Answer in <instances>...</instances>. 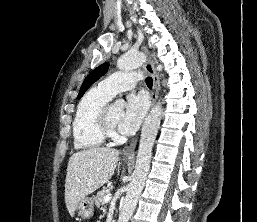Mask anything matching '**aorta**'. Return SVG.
<instances>
[{"mask_svg":"<svg viewBox=\"0 0 257 222\" xmlns=\"http://www.w3.org/2000/svg\"><path fill=\"white\" fill-rule=\"evenodd\" d=\"M145 55L139 51H128L117 61V67L120 70H131L143 65ZM162 67L158 66L157 70L161 71ZM124 100L118 99L115 105L118 108L124 107ZM161 103L150 111L141 131L139 149L136 158L135 170L131 182L128 186L126 197L120 206V215L118 222H128L135 210L138 198L144 188L145 180L150 168L152 148L158 132L161 121Z\"/></svg>","mask_w":257,"mask_h":222,"instance_id":"obj_1","label":"aorta"}]
</instances>
